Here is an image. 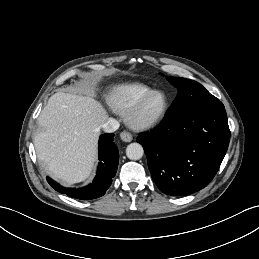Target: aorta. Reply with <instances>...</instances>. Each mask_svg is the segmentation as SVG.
I'll list each match as a JSON object with an SVG mask.
<instances>
[{
	"label": "aorta",
	"mask_w": 259,
	"mask_h": 259,
	"mask_svg": "<svg viewBox=\"0 0 259 259\" xmlns=\"http://www.w3.org/2000/svg\"><path fill=\"white\" fill-rule=\"evenodd\" d=\"M143 154V147L139 143H131L126 148V155L131 160H139Z\"/></svg>",
	"instance_id": "762f6f07"
}]
</instances>
